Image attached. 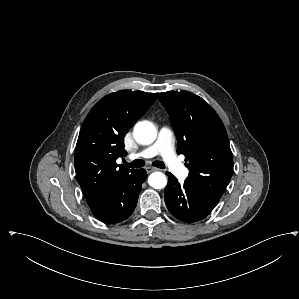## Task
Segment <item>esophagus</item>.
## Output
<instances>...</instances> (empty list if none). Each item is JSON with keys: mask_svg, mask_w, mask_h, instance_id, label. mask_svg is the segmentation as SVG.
Wrapping results in <instances>:
<instances>
[{"mask_svg": "<svg viewBox=\"0 0 299 299\" xmlns=\"http://www.w3.org/2000/svg\"><path fill=\"white\" fill-rule=\"evenodd\" d=\"M145 170H146L147 173H151L153 171L158 170V168L147 166V167H145Z\"/></svg>", "mask_w": 299, "mask_h": 299, "instance_id": "1", "label": "esophagus"}]
</instances>
